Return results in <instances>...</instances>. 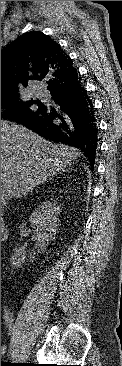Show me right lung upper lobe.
<instances>
[{
  "mask_svg": "<svg viewBox=\"0 0 122 366\" xmlns=\"http://www.w3.org/2000/svg\"><path fill=\"white\" fill-rule=\"evenodd\" d=\"M76 76L77 69L71 58L42 32L26 33L1 50V94L13 92L20 84L26 86L33 79H44L51 88L72 81Z\"/></svg>",
  "mask_w": 122,
  "mask_h": 366,
  "instance_id": "obj_1",
  "label": "right lung upper lobe"
}]
</instances>
